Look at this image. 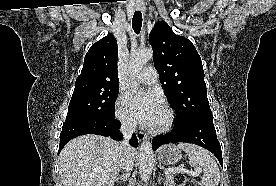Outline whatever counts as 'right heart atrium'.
Masks as SVG:
<instances>
[{
  "instance_id": "obj_1",
  "label": "right heart atrium",
  "mask_w": 276,
  "mask_h": 186,
  "mask_svg": "<svg viewBox=\"0 0 276 186\" xmlns=\"http://www.w3.org/2000/svg\"><path fill=\"white\" fill-rule=\"evenodd\" d=\"M116 118L121 123V125L126 129L134 128V121L128 113L126 108V98L124 95H121L116 101L115 109Z\"/></svg>"
}]
</instances>
